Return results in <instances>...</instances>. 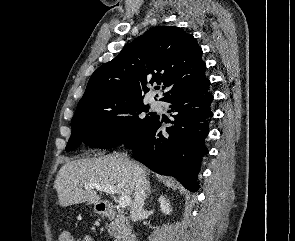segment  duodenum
Segmentation results:
<instances>
[{"label": "duodenum", "mask_w": 295, "mask_h": 241, "mask_svg": "<svg viewBox=\"0 0 295 241\" xmlns=\"http://www.w3.org/2000/svg\"><path fill=\"white\" fill-rule=\"evenodd\" d=\"M99 208L103 214L108 216L112 215L115 210L114 205L107 202L100 203ZM123 241H138V240L135 235H127L124 237Z\"/></svg>", "instance_id": "1"}]
</instances>
